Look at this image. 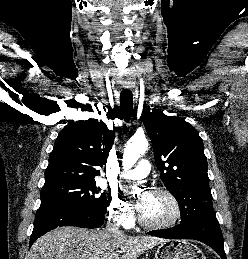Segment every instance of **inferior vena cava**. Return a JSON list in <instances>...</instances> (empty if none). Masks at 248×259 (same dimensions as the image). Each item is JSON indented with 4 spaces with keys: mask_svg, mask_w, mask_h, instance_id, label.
I'll return each mask as SVG.
<instances>
[{
    "mask_svg": "<svg viewBox=\"0 0 248 259\" xmlns=\"http://www.w3.org/2000/svg\"><path fill=\"white\" fill-rule=\"evenodd\" d=\"M106 231L116 234V235H123V233L119 229V225L116 223L108 222L106 226Z\"/></svg>",
    "mask_w": 248,
    "mask_h": 259,
    "instance_id": "obj_1",
    "label": "inferior vena cava"
}]
</instances>
